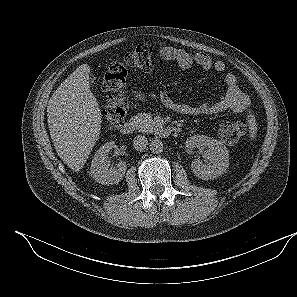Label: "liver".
Segmentation results:
<instances>
[{"instance_id":"liver-1","label":"liver","mask_w":297,"mask_h":297,"mask_svg":"<svg viewBox=\"0 0 297 297\" xmlns=\"http://www.w3.org/2000/svg\"><path fill=\"white\" fill-rule=\"evenodd\" d=\"M90 67L82 64L54 91L47 106L48 126L58 156L73 171L85 165L99 138L101 112L90 91Z\"/></svg>"}]
</instances>
